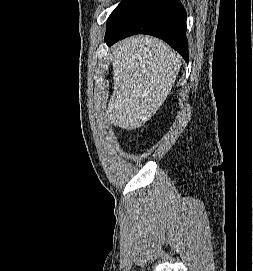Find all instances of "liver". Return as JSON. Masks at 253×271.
Listing matches in <instances>:
<instances>
[{
  "label": "liver",
  "mask_w": 253,
  "mask_h": 271,
  "mask_svg": "<svg viewBox=\"0 0 253 271\" xmlns=\"http://www.w3.org/2000/svg\"><path fill=\"white\" fill-rule=\"evenodd\" d=\"M108 120L126 130L143 126L166 100L180 70V56L163 41L137 35L117 43Z\"/></svg>",
  "instance_id": "6515ba94"
}]
</instances>
